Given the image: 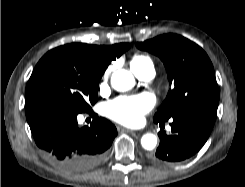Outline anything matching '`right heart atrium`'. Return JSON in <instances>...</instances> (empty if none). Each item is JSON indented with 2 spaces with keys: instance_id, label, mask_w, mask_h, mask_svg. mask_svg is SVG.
<instances>
[{
  "instance_id": "d8ad5b80",
  "label": "right heart atrium",
  "mask_w": 245,
  "mask_h": 187,
  "mask_svg": "<svg viewBox=\"0 0 245 187\" xmlns=\"http://www.w3.org/2000/svg\"><path fill=\"white\" fill-rule=\"evenodd\" d=\"M106 82H102L101 85H100V89L101 90H104L106 88Z\"/></svg>"
}]
</instances>
